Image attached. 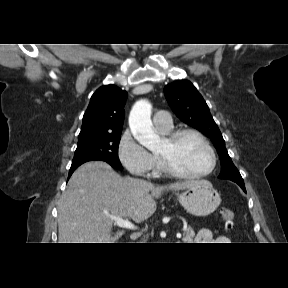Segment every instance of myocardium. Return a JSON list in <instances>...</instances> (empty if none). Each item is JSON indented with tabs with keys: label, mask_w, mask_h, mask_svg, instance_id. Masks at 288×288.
<instances>
[{
	"label": "myocardium",
	"mask_w": 288,
	"mask_h": 288,
	"mask_svg": "<svg viewBox=\"0 0 288 288\" xmlns=\"http://www.w3.org/2000/svg\"><path fill=\"white\" fill-rule=\"evenodd\" d=\"M186 135L195 136L207 148L211 156V165L209 169H207L204 172L197 173V174H188V173L181 171L178 167H176L175 164L169 158L158 155V159L161 163V167L165 173L171 176L177 177V178H181V179H201V178L207 177L208 175L213 173V171L215 170L217 166V155L213 146L211 145L209 140L205 137V135H203L198 130H195L192 128H183V129H178V130L168 133L165 139L168 141V143H170L171 145H174L182 137Z\"/></svg>",
	"instance_id": "1"
}]
</instances>
